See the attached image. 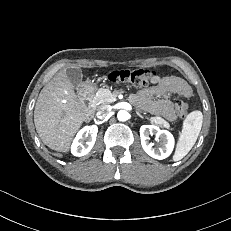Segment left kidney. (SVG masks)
Listing matches in <instances>:
<instances>
[{
  "instance_id": "5707ae66",
  "label": "left kidney",
  "mask_w": 231,
  "mask_h": 231,
  "mask_svg": "<svg viewBox=\"0 0 231 231\" xmlns=\"http://www.w3.org/2000/svg\"><path fill=\"white\" fill-rule=\"evenodd\" d=\"M156 135V140L161 141V146L158 148L153 147L149 143V135ZM140 138L143 150L152 158L162 160L170 156L173 151L175 140L173 135L167 130H160L155 125H142L140 127Z\"/></svg>"
}]
</instances>
